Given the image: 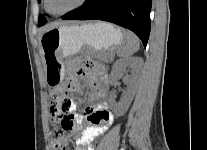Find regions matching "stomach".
Returning <instances> with one entry per match:
<instances>
[{
	"label": "stomach",
	"mask_w": 207,
	"mask_h": 150,
	"mask_svg": "<svg viewBox=\"0 0 207 150\" xmlns=\"http://www.w3.org/2000/svg\"><path fill=\"white\" fill-rule=\"evenodd\" d=\"M123 40L120 28L102 21L66 23L44 32L40 44L48 83L59 86L64 81V60L75 57L84 46L94 57H99L114 52Z\"/></svg>",
	"instance_id": "obj_1"
}]
</instances>
